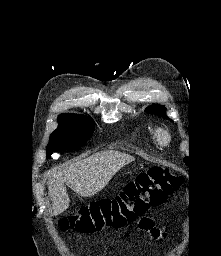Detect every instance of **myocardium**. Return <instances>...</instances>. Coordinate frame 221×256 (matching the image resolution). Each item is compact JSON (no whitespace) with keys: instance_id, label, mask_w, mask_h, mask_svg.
I'll use <instances>...</instances> for the list:
<instances>
[{"instance_id":"obj_1","label":"myocardium","mask_w":221,"mask_h":256,"mask_svg":"<svg viewBox=\"0 0 221 256\" xmlns=\"http://www.w3.org/2000/svg\"><path fill=\"white\" fill-rule=\"evenodd\" d=\"M155 136L160 144H167L170 141V135L165 129H157L155 132Z\"/></svg>"}]
</instances>
